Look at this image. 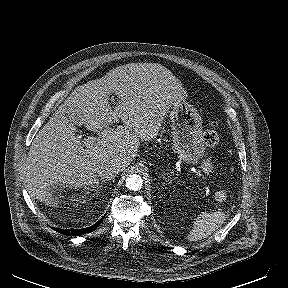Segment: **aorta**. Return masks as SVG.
Instances as JSON below:
<instances>
[{"mask_svg":"<svg viewBox=\"0 0 288 288\" xmlns=\"http://www.w3.org/2000/svg\"><path fill=\"white\" fill-rule=\"evenodd\" d=\"M143 179L140 175L131 174L126 178V187L131 191H138L142 188Z\"/></svg>","mask_w":288,"mask_h":288,"instance_id":"762f6f07","label":"aorta"}]
</instances>
